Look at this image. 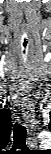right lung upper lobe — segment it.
<instances>
[{"label":"right lung upper lobe","mask_w":51,"mask_h":154,"mask_svg":"<svg viewBox=\"0 0 51 154\" xmlns=\"http://www.w3.org/2000/svg\"><path fill=\"white\" fill-rule=\"evenodd\" d=\"M2 116H3V119H4V121H5V123L7 124V127H11V112H10V110L8 109V110H6L3 114H2Z\"/></svg>","instance_id":"cb5924a9"}]
</instances>
